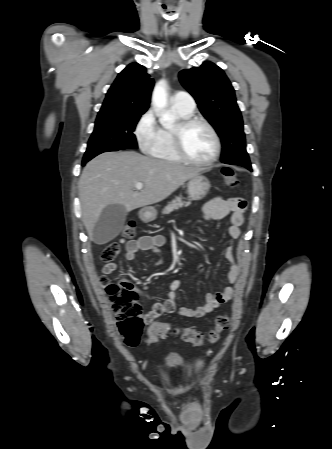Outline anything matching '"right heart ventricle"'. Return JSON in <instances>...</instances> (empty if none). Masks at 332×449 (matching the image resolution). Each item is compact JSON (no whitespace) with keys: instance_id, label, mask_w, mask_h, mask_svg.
<instances>
[{"instance_id":"e07e8e85","label":"right heart ventricle","mask_w":332,"mask_h":449,"mask_svg":"<svg viewBox=\"0 0 332 449\" xmlns=\"http://www.w3.org/2000/svg\"><path fill=\"white\" fill-rule=\"evenodd\" d=\"M172 110L175 113V115L179 119L190 117L192 112L184 111L180 108H177L172 105ZM153 157L166 160V161H172L177 162L181 159L177 156V154L174 151L173 143H172V129L167 127L160 128L158 139L153 146V148L149 152Z\"/></svg>"}]
</instances>
